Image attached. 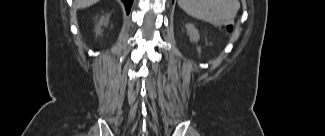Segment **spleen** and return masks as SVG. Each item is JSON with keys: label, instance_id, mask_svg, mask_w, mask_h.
I'll return each instance as SVG.
<instances>
[{"label": "spleen", "instance_id": "spleen-1", "mask_svg": "<svg viewBox=\"0 0 325 136\" xmlns=\"http://www.w3.org/2000/svg\"><path fill=\"white\" fill-rule=\"evenodd\" d=\"M178 5L188 15L215 27L222 26L232 17L227 2L223 0H179Z\"/></svg>", "mask_w": 325, "mask_h": 136}]
</instances>
